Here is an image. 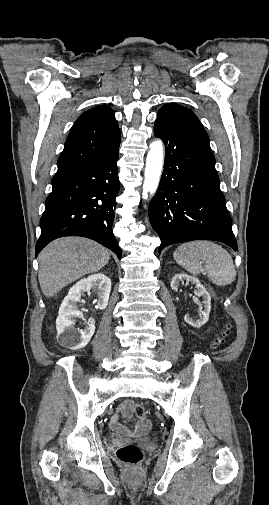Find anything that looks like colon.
Listing matches in <instances>:
<instances>
[{
	"mask_svg": "<svg viewBox=\"0 0 269 505\" xmlns=\"http://www.w3.org/2000/svg\"><path fill=\"white\" fill-rule=\"evenodd\" d=\"M227 335H228V330H226L221 336H219L215 340L214 346L218 347V346L222 345L225 342V338L227 337ZM145 413H146L145 409L142 405L137 404L134 407V414L138 418L145 417ZM116 455H117L118 459L121 460L122 462L132 464V465L138 464L142 460V457H143V453H142L141 449L135 444H126V445L119 447L117 449Z\"/></svg>",
	"mask_w": 269,
	"mask_h": 505,
	"instance_id": "5ec220e1",
	"label": "colon"
}]
</instances>
